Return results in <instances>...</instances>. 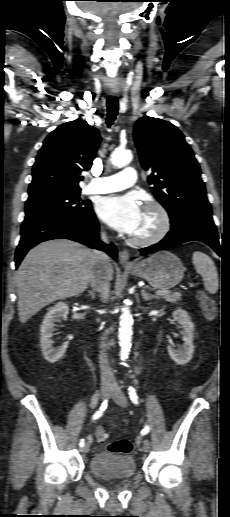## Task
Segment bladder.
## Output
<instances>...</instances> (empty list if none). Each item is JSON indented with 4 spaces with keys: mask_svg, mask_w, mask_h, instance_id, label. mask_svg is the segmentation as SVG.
Segmentation results:
<instances>
[{
    "mask_svg": "<svg viewBox=\"0 0 230 517\" xmlns=\"http://www.w3.org/2000/svg\"><path fill=\"white\" fill-rule=\"evenodd\" d=\"M89 471L102 479H126L136 473V464L128 454L100 452L91 459Z\"/></svg>",
    "mask_w": 230,
    "mask_h": 517,
    "instance_id": "obj_1",
    "label": "bladder"
}]
</instances>
